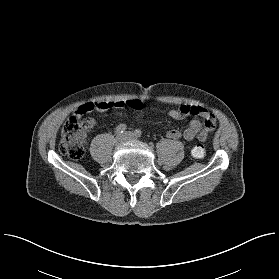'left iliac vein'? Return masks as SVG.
Instances as JSON below:
<instances>
[{"label": "left iliac vein", "instance_id": "4c4485c4", "mask_svg": "<svg viewBox=\"0 0 279 279\" xmlns=\"http://www.w3.org/2000/svg\"><path fill=\"white\" fill-rule=\"evenodd\" d=\"M124 139L127 140V141H136L137 140L135 134H133L130 131H126L124 133Z\"/></svg>", "mask_w": 279, "mask_h": 279}]
</instances>
